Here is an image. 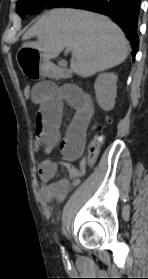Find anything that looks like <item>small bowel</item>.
Listing matches in <instances>:
<instances>
[{"instance_id":"c3829d8e","label":"small bowel","mask_w":148,"mask_h":279,"mask_svg":"<svg viewBox=\"0 0 148 279\" xmlns=\"http://www.w3.org/2000/svg\"><path fill=\"white\" fill-rule=\"evenodd\" d=\"M30 99L38 108L34 150L42 148L49 154L60 144L63 158L60 163L53 159H45L40 163L38 179L42 185V197L45 200H63L68 192L80 183L85 173L83 167L77 168L72 163L84 150L86 131L93 116L92 100L84 90L75 85L59 86L49 81L35 84ZM64 102L71 105L75 113L62 137ZM60 165L68 175L55 179Z\"/></svg>"}]
</instances>
